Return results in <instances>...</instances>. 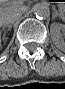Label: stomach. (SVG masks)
<instances>
[{"mask_svg":"<svg viewBox=\"0 0 65 89\" xmlns=\"http://www.w3.org/2000/svg\"><path fill=\"white\" fill-rule=\"evenodd\" d=\"M59 11H60V15L63 17L65 14V4L59 5Z\"/></svg>","mask_w":65,"mask_h":89,"instance_id":"0dacf381","label":"stomach"}]
</instances>
